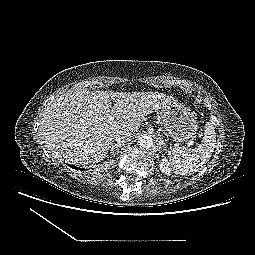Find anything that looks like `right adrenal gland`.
Segmentation results:
<instances>
[{"mask_svg":"<svg viewBox=\"0 0 255 255\" xmlns=\"http://www.w3.org/2000/svg\"><path fill=\"white\" fill-rule=\"evenodd\" d=\"M121 146H122L121 143L114 144V145L111 147L110 155H113V154H114V151H117V153H118Z\"/></svg>","mask_w":255,"mask_h":255,"instance_id":"2a0ac1e0","label":"right adrenal gland"}]
</instances>
